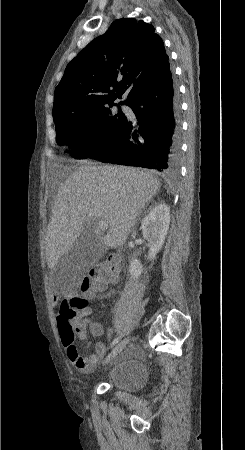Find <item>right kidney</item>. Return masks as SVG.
Listing matches in <instances>:
<instances>
[{"instance_id": "right-kidney-1", "label": "right kidney", "mask_w": 245, "mask_h": 450, "mask_svg": "<svg viewBox=\"0 0 245 450\" xmlns=\"http://www.w3.org/2000/svg\"><path fill=\"white\" fill-rule=\"evenodd\" d=\"M170 224V209L164 204L156 205L141 223L143 237L148 241V259L154 260L164 244ZM143 271V266L138 259L130 263L129 272L132 278H138Z\"/></svg>"}]
</instances>
